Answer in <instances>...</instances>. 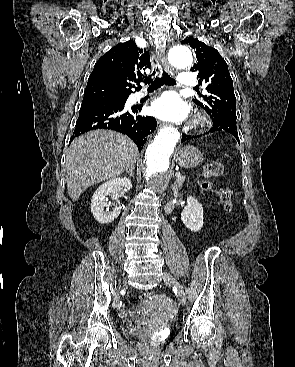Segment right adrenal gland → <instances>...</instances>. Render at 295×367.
Masks as SVG:
<instances>
[{
	"mask_svg": "<svg viewBox=\"0 0 295 367\" xmlns=\"http://www.w3.org/2000/svg\"><path fill=\"white\" fill-rule=\"evenodd\" d=\"M126 173L129 174L130 177H132L134 179V167H131L129 169L126 170Z\"/></svg>",
	"mask_w": 295,
	"mask_h": 367,
	"instance_id": "2a0ac1e0",
	"label": "right adrenal gland"
}]
</instances>
